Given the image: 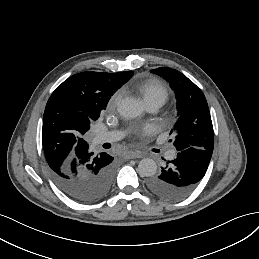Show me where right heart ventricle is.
I'll use <instances>...</instances> for the list:
<instances>
[{"label": "right heart ventricle", "mask_w": 259, "mask_h": 259, "mask_svg": "<svg viewBox=\"0 0 259 259\" xmlns=\"http://www.w3.org/2000/svg\"><path fill=\"white\" fill-rule=\"evenodd\" d=\"M126 88L124 87L123 89ZM133 88L143 96L145 103L151 101L165 103L169 96L167 88L158 81H153L151 84L145 85L143 84V80H139L133 85Z\"/></svg>", "instance_id": "1"}]
</instances>
